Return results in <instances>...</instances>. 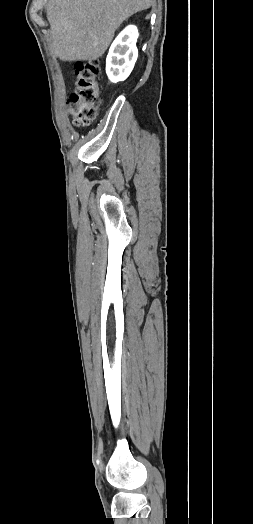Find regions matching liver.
I'll return each instance as SVG.
<instances>
[{
	"instance_id": "6515ba94",
	"label": "liver",
	"mask_w": 253,
	"mask_h": 524,
	"mask_svg": "<svg viewBox=\"0 0 253 524\" xmlns=\"http://www.w3.org/2000/svg\"><path fill=\"white\" fill-rule=\"evenodd\" d=\"M151 4L152 0H49L53 56L63 61L101 57L120 24Z\"/></svg>"
}]
</instances>
